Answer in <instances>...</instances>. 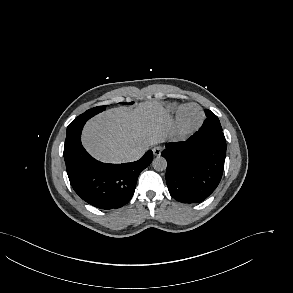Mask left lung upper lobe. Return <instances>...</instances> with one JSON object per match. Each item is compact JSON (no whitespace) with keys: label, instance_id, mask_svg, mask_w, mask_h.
Returning a JSON list of instances; mask_svg holds the SVG:
<instances>
[{"label":"left lung upper lobe","instance_id":"5c2ea615","mask_svg":"<svg viewBox=\"0 0 293 293\" xmlns=\"http://www.w3.org/2000/svg\"><path fill=\"white\" fill-rule=\"evenodd\" d=\"M205 114L207 118L204 121V123L213 124L214 126L217 127V129H219L222 132V127L220 125L218 117L214 113H212L210 110H207V109L205 110Z\"/></svg>","mask_w":293,"mask_h":293}]
</instances>
